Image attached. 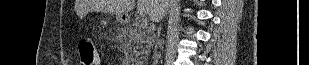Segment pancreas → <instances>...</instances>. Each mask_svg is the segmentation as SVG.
<instances>
[{
    "label": "pancreas",
    "instance_id": "pancreas-1",
    "mask_svg": "<svg viewBox=\"0 0 309 65\" xmlns=\"http://www.w3.org/2000/svg\"><path fill=\"white\" fill-rule=\"evenodd\" d=\"M128 37L132 42L131 52L137 61L138 57H143L149 51L152 39L148 30L141 26L140 20H134L128 27Z\"/></svg>",
    "mask_w": 309,
    "mask_h": 65
}]
</instances>
